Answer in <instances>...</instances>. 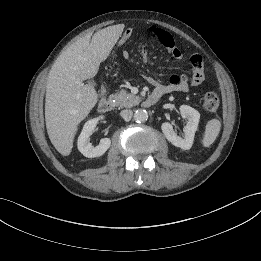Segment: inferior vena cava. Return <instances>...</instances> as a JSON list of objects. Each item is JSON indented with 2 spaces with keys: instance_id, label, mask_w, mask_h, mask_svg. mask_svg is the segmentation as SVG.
<instances>
[{
  "instance_id": "inferior-vena-cava-1",
  "label": "inferior vena cava",
  "mask_w": 261,
  "mask_h": 261,
  "mask_svg": "<svg viewBox=\"0 0 261 261\" xmlns=\"http://www.w3.org/2000/svg\"><path fill=\"white\" fill-rule=\"evenodd\" d=\"M120 115H121V117H122L125 121H130L131 118H132L133 112H132V110H130V109H125V110H122V111L120 112Z\"/></svg>"
}]
</instances>
